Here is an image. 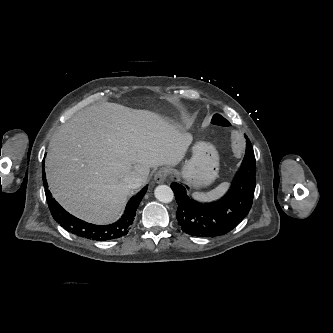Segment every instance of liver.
Returning a JSON list of instances; mask_svg holds the SVG:
<instances>
[{"label":"liver","mask_w":333,"mask_h":333,"mask_svg":"<svg viewBox=\"0 0 333 333\" xmlns=\"http://www.w3.org/2000/svg\"><path fill=\"white\" fill-rule=\"evenodd\" d=\"M193 137L160 116L116 103L79 111L52 138L46 177L53 197L72 215L106 224L117 218L130 189L124 177L134 171L175 166Z\"/></svg>","instance_id":"obj_1"}]
</instances>
